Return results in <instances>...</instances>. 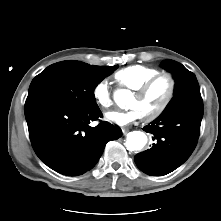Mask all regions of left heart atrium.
Returning a JSON list of instances; mask_svg holds the SVG:
<instances>
[{"label":"left heart atrium","mask_w":221,"mask_h":221,"mask_svg":"<svg viewBox=\"0 0 221 221\" xmlns=\"http://www.w3.org/2000/svg\"><path fill=\"white\" fill-rule=\"evenodd\" d=\"M107 120L119 126H127L132 124L139 118L141 114L137 109L131 108L128 111H112L106 114Z\"/></svg>","instance_id":"obj_1"}]
</instances>
